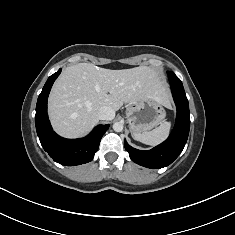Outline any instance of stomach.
<instances>
[{
    "label": "stomach",
    "mask_w": 235,
    "mask_h": 235,
    "mask_svg": "<svg viewBox=\"0 0 235 235\" xmlns=\"http://www.w3.org/2000/svg\"><path fill=\"white\" fill-rule=\"evenodd\" d=\"M163 106L153 97L129 103L126 106V117L131 133H145L160 124L166 117Z\"/></svg>",
    "instance_id": "1"
}]
</instances>
